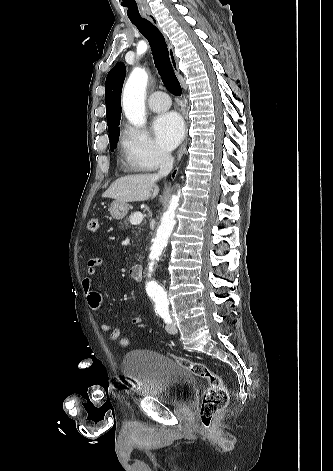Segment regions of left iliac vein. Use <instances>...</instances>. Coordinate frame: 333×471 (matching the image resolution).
I'll return each mask as SVG.
<instances>
[{
  "label": "left iliac vein",
  "mask_w": 333,
  "mask_h": 471,
  "mask_svg": "<svg viewBox=\"0 0 333 471\" xmlns=\"http://www.w3.org/2000/svg\"><path fill=\"white\" fill-rule=\"evenodd\" d=\"M166 331L170 334H176L178 332L177 325L175 323H169L166 326Z\"/></svg>",
  "instance_id": "left-iliac-vein-1"
}]
</instances>
